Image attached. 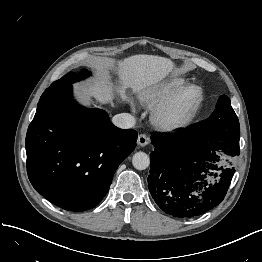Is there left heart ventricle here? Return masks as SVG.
I'll return each instance as SVG.
<instances>
[{
  "label": "left heart ventricle",
  "mask_w": 262,
  "mask_h": 262,
  "mask_svg": "<svg viewBox=\"0 0 262 262\" xmlns=\"http://www.w3.org/2000/svg\"><path fill=\"white\" fill-rule=\"evenodd\" d=\"M196 96H197V92L195 90L187 91L183 96L180 109L183 112H188L192 108L195 102Z\"/></svg>",
  "instance_id": "1"
}]
</instances>
